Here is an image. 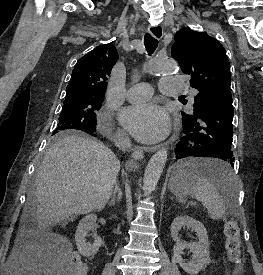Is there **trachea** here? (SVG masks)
Segmentation results:
<instances>
[{
  "label": "trachea",
  "mask_w": 263,
  "mask_h": 275,
  "mask_svg": "<svg viewBox=\"0 0 263 275\" xmlns=\"http://www.w3.org/2000/svg\"><path fill=\"white\" fill-rule=\"evenodd\" d=\"M144 45L148 54L151 55L158 46V40L155 39L151 34L146 33L144 36Z\"/></svg>",
  "instance_id": "trachea-1"
}]
</instances>
